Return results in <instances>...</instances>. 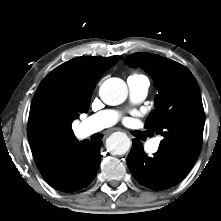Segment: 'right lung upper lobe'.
I'll use <instances>...</instances> for the list:
<instances>
[{
  "instance_id": "1",
  "label": "right lung upper lobe",
  "mask_w": 221,
  "mask_h": 221,
  "mask_svg": "<svg viewBox=\"0 0 221 221\" xmlns=\"http://www.w3.org/2000/svg\"><path fill=\"white\" fill-rule=\"evenodd\" d=\"M116 57H77L51 71L39 85L30 108L28 139L41 174L59 166L78 141L71 124L87 112L100 76Z\"/></svg>"
}]
</instances>
